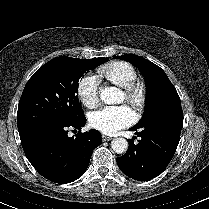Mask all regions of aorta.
Masks as SVG:
<instances>
[{"label": "aorta", "mask_w": 209, "mask_h": 209, "mask_svg": "<svg viewBox=\"0 0 209 209\" xmlns=\"http://www.w3.org/2000/svg\"><path fill=\"white\" fill-rule=\"evenodd\" d=\"M122 96L121 91L116 87H105L100 92V98L105 103H114ZM111 147L118 154L125 153L128 149V142L125 138H115Z\"/></svg>", "instance_id": "aorta-1"}]
</instances>
